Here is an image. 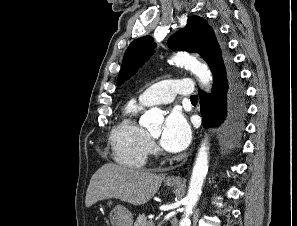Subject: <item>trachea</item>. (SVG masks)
<instances>
[{"mask_svg": "<svg viewBox=\"0 0 297 226\" xmlns=\"http://www.w3.org/2000/svg\"><path fill=\"white\" fill-rule=\"evenodd\" d=\"M190 100L191 102H197L198 101L197 95H193Z\"/></svg>", "mask_w": 297, "mask_h": 226, "instance_id": "trachea-1", "label": "trachea"}]
</instances>
